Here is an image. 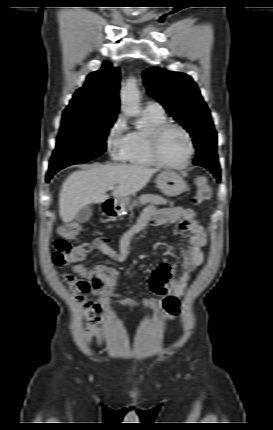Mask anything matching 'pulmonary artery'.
Instances as JSON below:
<instances>
[{
  "label": "pulmonary artery",
  "instance_id": "1",
  "mask_svg": "<svg viewBox=\"0 0 273 430\" xmlns=\"http://www.w3.org/2000/svg\"><path fill=\"white\" fill-rule=\"evenodd\" d=\"M146 110L151 111V112H155V113H159V114L164 113V109H163L162 105L158 102H155V101L148 102V104L146 106Z\"/></svg>",
  "mask_w": 273,
  "mask_h": 430
}]
</instances>
